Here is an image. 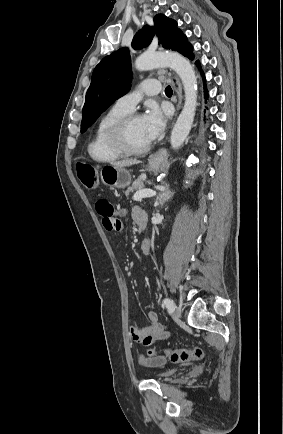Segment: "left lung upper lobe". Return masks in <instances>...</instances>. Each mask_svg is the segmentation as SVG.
<instances>
[{
	"label": "left lung upper lobe",
	"instance_id": "left-lung-upper-lobe-1",
	"mask_svg": "<svg viewBox=\"0 0 283 434\" xmlns=\"http://www.w3.org/2000/svg\"><path fill=\"white\" fill-rule=\"evenodd\" d=\"M154 34L163 48L172 49L193 60L192 46L177 27L163 14L154 17V27L146 25L133 38L132 47L142 49L150 44ZM131 58L128 48H121L104 57L95 67L82 111L81 133L131 87Z\"/></svg>",
	"mask_w": 283,
	"mask_h": 434
}]
</instances>
